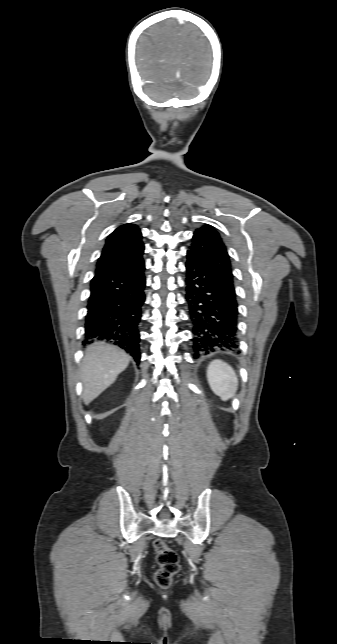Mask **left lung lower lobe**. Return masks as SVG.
Masks as SVG:
<instances>
[{"label": "left lung lower lobe", "mask_w": 337, "mask_h": 644, "mask_svg": "<svg viewBox=\"0 0 337 644\" xmlns=\"http://www.w3.org/2000/svg\"><path fill=\"white\" fill-rule=\"evenodd\" d=\"M185 283L194 357L237 348L238 303L234 284L218 267L191 252H187Z\"/></svg>", "instance_id": "1"}]
</instances>
